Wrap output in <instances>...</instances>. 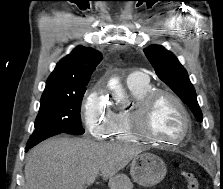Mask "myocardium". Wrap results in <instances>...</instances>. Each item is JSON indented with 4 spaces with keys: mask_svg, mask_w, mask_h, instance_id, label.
<instances>
[{
    "mask_svg": "<svg viewBox=\"0 0 223 189\" xmlns=\"http://www.w3.org/2000/svg\"><path fill=\"white\" fill-rule=\"evenodd\" d=\"M162 97H168L169 99H171L180 110L183 117L182 133L178 138L173 140L158 138L146 131V122L149 117L150 111L156 101ZM129 121L132 132L137 139L163 146H177L188 137L191 131V117L185 104L176 94L163 89L152 90L141 99L136 101V103L130 110Z\"/></svg>",
    "mask_w": 223,
    "mask_h": 189,
    "instance_id": "1",
    "label": "myocardium"
}]
</instances>
